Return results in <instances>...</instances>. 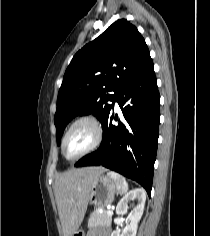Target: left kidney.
<instances>
[{
  "instance_id": "1",
  "label": "left kidney",
  "mask_w": 210,
  "mask_h": 236,
  "mask_svg": "<svg viewBox=\"0 0 210 236\" xmlns=\"http://www.w3.org/2000/svg\"><path fill=\"white\" fill-rule=\"evenodd\" d=\"M134 200H136L138 204L133 208V210L130 213H128L127 219L130 221V223L122 231L121 234L119 231L116 230L112 232L111 236H136L138 222L142 217L145 206V201H146L145 191L141 188H136L129 191L117 204L116 214L117 215L127 214L128 204Z\"/></svg>"
}]
</instances>
